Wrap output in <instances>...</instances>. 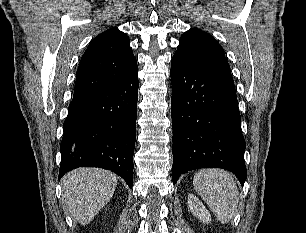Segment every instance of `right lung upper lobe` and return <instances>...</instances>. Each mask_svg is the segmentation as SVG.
Wrapping results in <instances>:
<instances>
[{
	"label": "right lung upper lobe",
	"instance_id": "right-lung-upper-lobe-1",
	"mask_svg": "<svg viewBox=\"0 0 306 233\" xmlns=\"http://www.w3.org/2000/svg\"><path fill=\"white\" fill-rule=\"evenodd\" d=\"M129 44L128 36L117 28H110L95 37L81 58L73 98L108 89L137 68Z\"/></svg>",
	"mask_w": 306,
	"mask_h": 233
}]
</instances>
